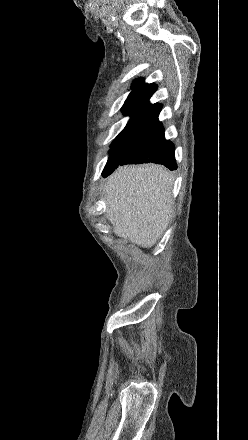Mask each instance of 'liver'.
Segmentation results:
<instances>
[{
  "mask_svg": "<svg viewBox=\"0 0 248 440\" xmlns=\"http://www.w3.org/2000/svg\"><path fill=\"white\" fill-rule=\"evenodd\" d=\"M173 177L159 165L117 169L104 188L113 232L141 247H152L171 216Z\"/></svg>",
  "mask_w": 248,
  "mask_h": 440,
  "instance_id": "6515ba94",
  "label": "liver"
}]
</instances>
